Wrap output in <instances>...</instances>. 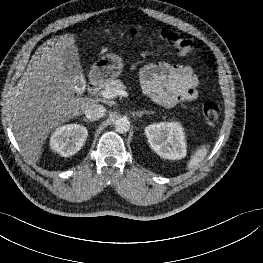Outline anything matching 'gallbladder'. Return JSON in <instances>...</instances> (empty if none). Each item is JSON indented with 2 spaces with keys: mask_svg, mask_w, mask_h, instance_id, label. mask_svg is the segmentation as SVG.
I'll return each instance as SVG.
<instances>
[{
  "mask_svg": "<svg viewBox=\"0 0 263 263\" xmlns=\"http://www.w3.org/2000/svg\"><path fill=\"white\" fill-rule=\"evenodd\" d=\"M63 65L69 77L73 81H76L83 77V71L77 51L73 49H67L63 56Z\"/></svg>",
  "mask_w": 263,
  "mask_h": 263,
  "instance_id": "1",
  "label": "gallbladder"
}]
</instances>
